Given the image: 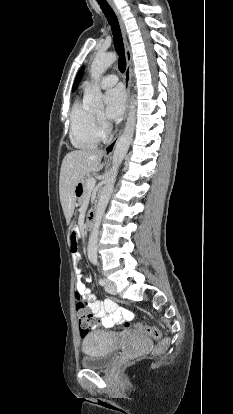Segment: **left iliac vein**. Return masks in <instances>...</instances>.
<instances>
[{
    "label": "left iliac vein",
    "mask_w": 233,
    "mask_h": 414,
    "mask_svg": "<svg viewBox=\"0 0 233 414\" xmlns=\"http://www.w3.org/2000/svg\"><path fill=\"white\" fill-rule=\"evenodd\" d=\"M105 290L106 292L110 294H116V286L115 284L110 280H105Z\"/></svg>",
    "instance_id": "4c4485c4"
}]
</instances>
